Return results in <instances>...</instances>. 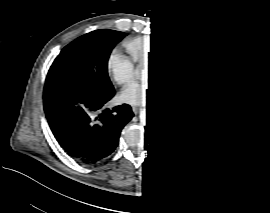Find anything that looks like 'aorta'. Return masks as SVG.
<instances>
[{
	"instance_id": "aorta-1",
	"label": "aorta",
	"mask_w": 270,
	"mask_h": 213,
	"mask_svg": "<svg viewBox=\"0 0 270 213\" xmlns=\"http://www.w3.org/2000/svg\"><path fill=\"white\" fill-rule=\"evenodd\" d=\"M141 122L146 125V126H149V109H144L142 112H141Z\"/></svg>"
}]
</instances>
